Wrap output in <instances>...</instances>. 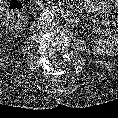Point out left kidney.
Returning a JSON list of instances; mask_svg holds the SVG:
<instances>
[{
  "mask_svg": "<svg viewBox=\"0 0 118 118\" xmlns=\"http://www.w3.org/2000/svg\"><path fill=\"white\" fill-rule=\"evenodd\" d=\"M97 53L110 56L114 53V46L109 40L104 38H98L94 41L93 45Z\"/></svg>",
  "mask_w": 118,
  "mask_h": 118,
  "instance_id": "1",
  "label": "left kidney"
}]
</instances>
